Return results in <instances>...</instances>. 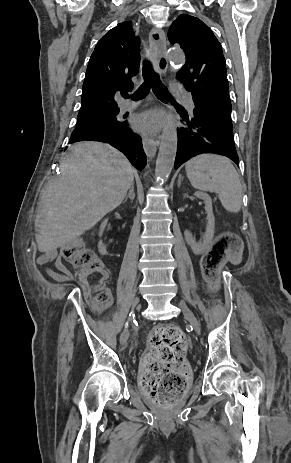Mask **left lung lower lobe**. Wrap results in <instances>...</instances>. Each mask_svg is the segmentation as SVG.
<instances>
[{
  "mask_svg": "<svg viewBox=\"0 0 291 463\" xmlns=\"http://www.w3.org/2000/svg\"><path fill=\"white\" fill-rule=\"evenodd\" d=\"M182 127L177 129L178 145L175 169L190 158L201 154H217L230 158L239 166L233 137V126L200 115L182 114Z\"/></svg>",
  "mask_w": 291,
  "mask_h": 463,
  "instance_id": "obj_1",
  "label": "left lung lower lobe"
}]
</instances>
